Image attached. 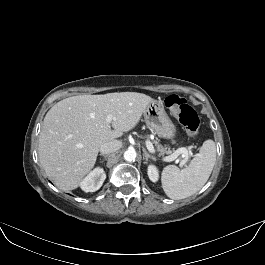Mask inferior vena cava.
Here are the masks:
<instances>
[{
    "label": "inferior vena cava",
    "mask_w": 265,
    "mask_h": 265,
    "mask_svg": "<svg viewBox=\"0 0 265 265\" xmlns=\"http://www.w3.org/2000/svg\"><path fill=\"white\" fill-rule=\"evenodd\" d=\"M120 147H121V142L120 141L112 140V141L104 143L100 147V153L102 155L110 154V153H113V152L117 151L118 149H120Z\"/></svg>",
    "instance_id": "1"
}]
</instances>
